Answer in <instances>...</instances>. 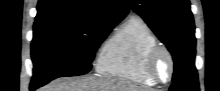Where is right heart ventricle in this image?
<instances>
[{
  "mask_svg": "<svg viewBox=\"0 0 220 91\" xmlns=\"http://www.w3.org/2000/svg\"><path fill=\"white\" fill-rule=\"evenodd\" d=\"M158 44L149 25L139 16L129 17L107 40L96 62L103 76L142 86H154L144 70L147 53Z\"/></svg>",
  "mask_w": 220,
  "mask_h": 91,
  "instance_id": "right-heart-ventricle-1",
  "label": "right heart ventricle"
}]
</instances>
